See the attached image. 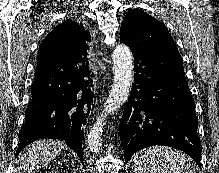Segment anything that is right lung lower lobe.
<instances>
[{
	"mask_svg": "<svg viewBox=\"0 0 219 173\" xmlns=\"http://www.w3.org/2000/svg\"><path fill=\"white\" fill-rule=\"evenodd\" d=\"M87 61L76 55L38 61L16 156L31 142L50 138L65 141L83 163L84 126L93 101Z\"/></svg>",
	"mask_w": 219,
	"mask_h": 173,
	"instance_id": "obj_1",
	"label": "right lung lower lobe"
}]
</instances>
